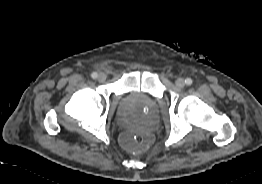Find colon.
<instances>
[{
	"label": "colon",
	"instance_id": "colon-1",
	"mask_svg": "<svg viewBox=\"0 0 262 184\" xmlns=\"http://www.w3.org/2000/svg\"><path fill=\"white\" fill-rule=\"evenodd\" d=\"M149 143V135L143 132L126 133L122 137L123 147L133 152L144 150L149 145Z\"/></svg>",
	"mask_w": 262,
	"mask_h": 184
}]
</instances>
